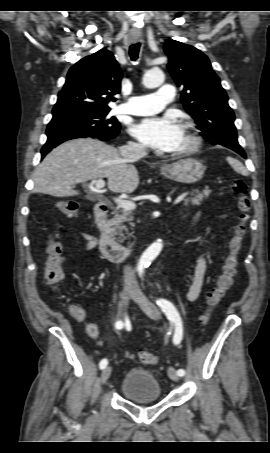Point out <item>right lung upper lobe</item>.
Wrapping results in <instances>:
<instances>
[{
  "label": "right lung upper lobe",
  "instance_id": "obj_1",
  "mask_svg": "<svg viewBox=\"0 0 270 453\" xmlns=\"http://www.w3.org/2000/svg\"><path fill=\"white\" fill-rule=\"evenodd\" d=\"M122 72L113 54L101 49L73 65L58 94L52 114L66 116L87 111L110 110L108 103L120 92Z\"/></svg>",
  "mask_w": 270,
  "mask_h": 453
}]
</instances>
